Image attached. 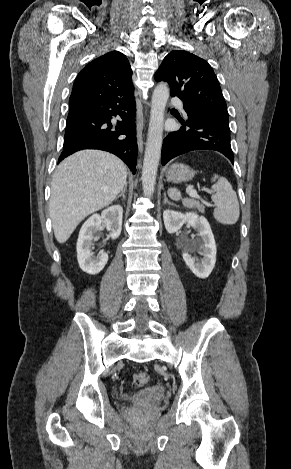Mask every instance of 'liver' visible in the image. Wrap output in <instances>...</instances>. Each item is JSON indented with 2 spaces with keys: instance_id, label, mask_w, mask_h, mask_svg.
<instances>
[{
  "instance_id": "liver-1",
  "label": "liver",
  "mask_w": 291,
  "mask_h": 469,
  "mask_svg": "<svg viewBox=\"0 0 291 469\" xmlns=\"http://www.w3.org/2000/svg\"><path fill=\"white\" fill-rule=\"evenodd\" d=\"M126 179V165L108 152L83 150L63 160L54 173L49 202L57 241L66 242L85 217L111 204Z\"/></svg>"
}]
</instances>
